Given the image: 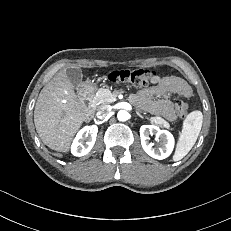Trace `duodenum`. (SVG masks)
Segmentation results:
<instances>
[{"label": "duodenum", "mask_w": 231, "mask_h": 231, "mask_svg": "<svg viewBox=\"0 0 231 231\" xmlns=\"http://www.w3.org/2000/svg\"><path fill=\"white\" fill-rule=\"evenodd\" d=\"M80 100L84 104L85 113H91L94 109L93 94L90 88L84 87L80 90Z\"/></svg>", "instance_id": "1"}]
</instances>
